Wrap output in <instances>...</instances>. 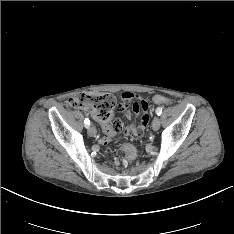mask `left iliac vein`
<instances>
[{"label":"left iliac vein","instance_id":"obj_1","mask_svg":"<svg viewBox=\"0 0 234 234\" xmlns=\"http://www.w3.org/2000/svg\"><path fill=\"white\" fill-rule=\"evenodd\" d=\"M160 128V119L158 116H155L152 121V129L157 131Z\"/></svg>","mask_w":234,"mask_h":234}]
</instances>
